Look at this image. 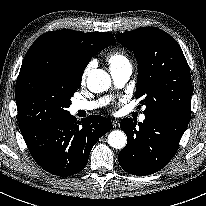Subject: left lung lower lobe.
Segmentation results:
<instances>
[{
  "mask_svg": "<svg viewBox=\"0 0 206 206\" xmlns=\"http://www.w3.org/2000/svg\"><path fill=\"white\" fill-rule=\"evenodd\" d=\"M190 118L154 112L138 123L132 118L120 122L128 142L118 154L121 167L137 176L153 174L175 155Z\"/></svg>",
  "mask_w": 206,
  "mask_h": 206,
  "instance_id": "0a47b994",
  "label": "left lung lower lobe"
}]
</instances>
